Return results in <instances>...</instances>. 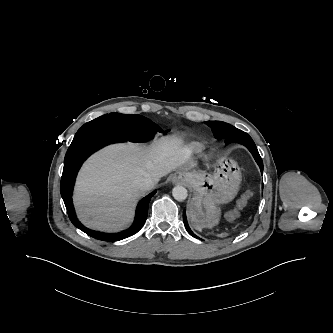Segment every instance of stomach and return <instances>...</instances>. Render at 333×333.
<instances>
[{"mask_svg": "<svg viewBox=\"0 0 333 333\" xmlns=\"http://www.w3.org/2000/svg\"><path fill=\"white\" fill-rule=\"evenodd\" d=\"M177 174L193 190L188 214L196 229L218 224L221 216L218 205L233 200L242 180L239 165L228 156L216 160L211 174L192 169H181Z\"/></svg>", "mask_w": 333, "mask_h": 333, "instance_id": "obj_1", "label": "stomach"}]
</instances>
